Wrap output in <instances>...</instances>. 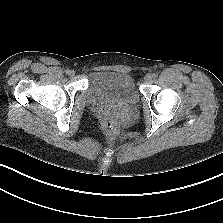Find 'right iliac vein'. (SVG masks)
<instances>
[{
	"label": "right iliac vein",
	"mask_w": 223,
	"mask_h": 223,
	"mask_svg": "<svg viewBox=\"0 0 223 223\" xmlns=\"http://www.w3.org/2000/svg\"><path fill=\"white\" fill-rule=\"evenodd\" d=\"M68 75L74 76L75 75V72L72 70V71H70V73Z\"/></svg>",
	"instance_id": "1"
}]
</instances>
